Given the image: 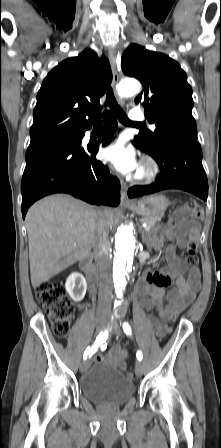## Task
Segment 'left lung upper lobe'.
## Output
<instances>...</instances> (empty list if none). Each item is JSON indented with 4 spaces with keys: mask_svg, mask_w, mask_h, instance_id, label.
<instances>
[{
    "mask_svg": "<svg viewBox=\"0 0 221 448\" xmlns=\"http://www.w3.org/2000/svg\"><path fill=\"white\" fill-rule=\"evenodd\" d=\"M124 74L139 79L144 91L135 99L145 108V116L155 130L143 131L133 144L155 153L166 144L200 145L192 116V88L180 65L163 53L130 45L122 55Z\"/></svg>",
    "mask_w": 221,
    "mask_h": 448,
    "instance_id": "left-lung-upper-lobe-1",
    "label": "left lung upper lobe"
}]
</instances>
